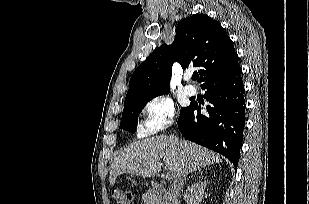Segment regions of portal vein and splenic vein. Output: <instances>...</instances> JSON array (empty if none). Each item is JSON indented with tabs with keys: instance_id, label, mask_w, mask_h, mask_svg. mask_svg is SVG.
<instances>
[{
	"instance_id": "portal-vein-and-splenic-vein-1",
	"label": "portal vein and splenic vein",
	"mask_w": 309,
	"mask_h": 204,
	"mask_svg": "<svg viewBox=\"0 0 309 204\" xmlns=\"http://www.w3.org/2000/svg\"><path fill=\"white\" fill-rule=\"evenodd\" d=\"M165 177H166V179H168V180H169V179H172V174H171L170 172H167V174H166Z\"/></svg>"
}]
</instances>
